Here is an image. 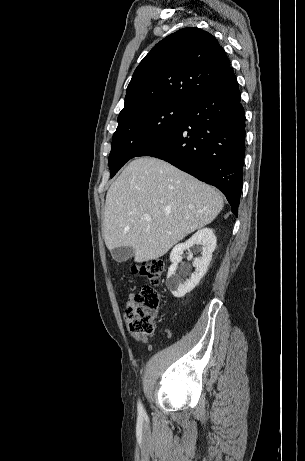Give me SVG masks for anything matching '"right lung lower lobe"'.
Instances as JSON below:
<instances>
[{
  "label": "right lung lower lobe",
  "mask_w": 305,
  "mask_h": 461,
  "mask_svg": "<svg viewBox=\"0 0 305 461\" xmlns=\"http://www.w3.org/2000/svg\"><path fill=\"white\" fill-rule=\"evenodd\" d=\"M245 114L234 75L189 103L182 122L138 156L165 160L221 190L238 215Z\"/></svg>",
  "instance_id": "obj_1"
}]
</instances>
